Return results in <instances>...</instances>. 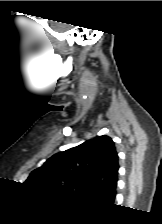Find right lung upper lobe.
Wrapping results in <instances>:
<instances>
[{
	"label": "right lung upper lobe",
	"instance_id": "right-lung-upper-lobe-1",
	"mask_svg": "<svg viewBox=\"0 0 162 224\" xmlns=\"http://www.w3.org/2000/svg\"><path fill=\"white\" fill-rule=\"evenodd\" d=\"M118 155L108 136H99L50 157L26 180L32 188L111 202L116 195Z\"/></svg>",
	"mask_w": 162,
	"mask_h": 224
}]
</instances>
